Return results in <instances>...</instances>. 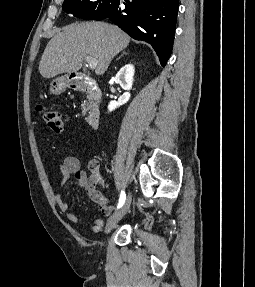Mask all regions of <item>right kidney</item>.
I'll use <instances>...</instances> for the list:
<instances>
[{
  "mask_svg": "<svg viewBox=\"0 0 255 287\" xmlns=\"http://www.w3.org/2000/svg\"><path fill=\"white\" fill-rule=\"evenodd\" d=\"M133 76H134V66H132V64H126V66H123V68L119 70L118 74H116L115 80L116 82H118V84H120L123 90H131ZM129 98H130L129 92H125L123 96H120V98H118V102H115V100L109 102L108 104L109 112H113L115 108H119V106H123V104H126Z\"/></svg>",
  "mask_w": 255,
  "mask_h": 287,
  "instance_id": "ca27d5eb",
  "label": "right kidney"
}]
</instances>
